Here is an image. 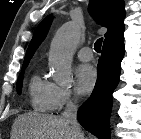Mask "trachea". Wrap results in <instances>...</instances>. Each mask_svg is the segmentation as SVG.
I'll return each instance as SVG.
<instances>
[{
  "label": "trachea",
  "instance_id": "3493384b",
  "mask_svg": "<svg viewBox=\"0 0 141 139\" xmlns=\"http://www.w3.org/2000/svg\"><path fill=\"white\" fill-rule=\"evenodd\" d=\"M102 41H103V38H99L94 44V50L98 53H100L101 51Z\"/></svg>",
  "mask_w": 141,
  "mask_h": 139
}]
</instances>
